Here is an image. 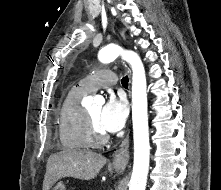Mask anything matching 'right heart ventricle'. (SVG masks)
I'll return each instance as SVG.
<instances>
[{
	"label": "right heart ventricle",
	"mask_w": 221,
	"mask_h": 190,
	"mask_svg": "<svg viewBox=\"0 0 221 190\" xmlns=\"http://www.w3.org/2000/svg\"><path fill=\"white\" fill-rule=\"evenodd\" d=\"M80 84L73 86L64 97L58 113V134L66 150L86 149L85 109L82 99L88 94Z\"/></svg>",
	"instance_id": "obj_1"
}]
</instances>
